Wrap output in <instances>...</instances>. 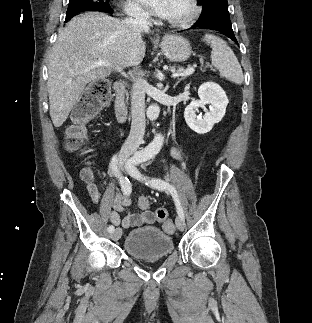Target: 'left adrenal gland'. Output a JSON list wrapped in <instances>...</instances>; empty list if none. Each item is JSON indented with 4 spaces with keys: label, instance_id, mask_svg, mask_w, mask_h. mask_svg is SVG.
Listing matches in <instances>:
<instances>
[{
    "label": "left adrenal gland",
    "instance_id": "left-adrenal-gland-1",
    "mask_svg": "<svg viewBox=\"0 0 312 323\" xmlns=\"http://www.w3.org/2000/svg\"><path fill=\"white\" fill-rule=\"evenodd\" d=\"M181 80H184L183 76H182V78H178V82H176V84H174L173 88H176V86H178V84H180Z\"/></svg>",
    "mask_w": 312,
    "mask_h": 323
}]
</instances>
